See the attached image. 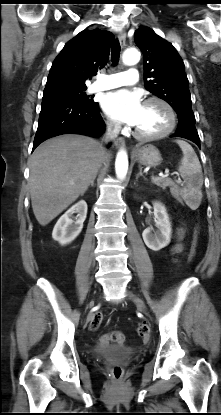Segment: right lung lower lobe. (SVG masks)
<instances>
[{"mask_svg": "<svg viewBox=\"0 0 221 415\" xmlns=\"http://www.w3.org/2000/svg\"><path fill=\"white\" fill-rule=\"evenodd\" d=\"M99 104H85L67 99H43L33 150L48 138L76 133L98 137L104 132Z\"/></svg>", "mask_w": 221, "mask_h": 415, "instance_id": "1", "label": "right lung lower lobe"}]
</instances>
